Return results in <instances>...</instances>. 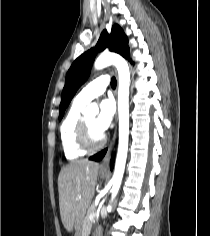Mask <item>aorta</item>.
<instances>
[{
    "label": "aorta",
    "instance_id": "obj_1",
    "mask_svg": "<svg viewBox=\"0 0 210 236\" xmlns=\"http://www.w3.org/2000/svg\"><path fill=\"white\" fill-rule=\"evenodd\" d=\"M114 65L118 70L119 88H118V115H119V144L115 162L114 174L111 179V201L116 197L125 170V164L128 152L129 137V85L130 71L126 60L115 53H102L94 62L96 70L104 69L107 66ZM99 109L96 105H89L84 109V115H96ZM111 207L110 205L108 206Z\"/></svg>",
    "mask_w": 210,
    "mask_h": 236
}]
</instances>
